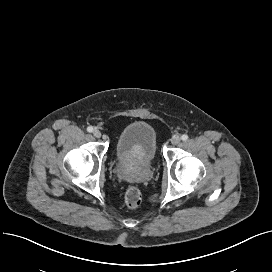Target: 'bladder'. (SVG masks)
<instances>
[{"label":"bladder","instance_id":"obj_1","mask_svg":"<svg viewBox=\"0 0 272 272\" xmlns=\"http://www.w3.org/2000/svg\"><path fill=\"white\" fill-rule=\"evenodd\" d=\"M158 137L152 125L146 121H134L119 134L115 151L119 161L150 163L157 152Z\"/></svg>","mask_w":272,"mask_h":272}]
</instances>
